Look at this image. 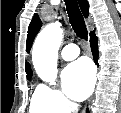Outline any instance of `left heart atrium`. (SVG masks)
I'll list each match as a JSON object with an SVG mask.
<instances>
[{
    "label": "left heart atrium",
    "instance_id": "obj_1",
    "mask_svg": "<svg viewBox=\"0 0 121 113\" xmlns=\"http://www.w3.org/2000/svg\"><path fill=\"white\" fill-rule=\"evenodd\" d=\"M65 93L76 101L86 99L94 86L95 71L92 64L81 59L68 65L62 73Z\"/></svg>",
    "mask_w": 121,
    "mask_h": 113
}]
</instances>
